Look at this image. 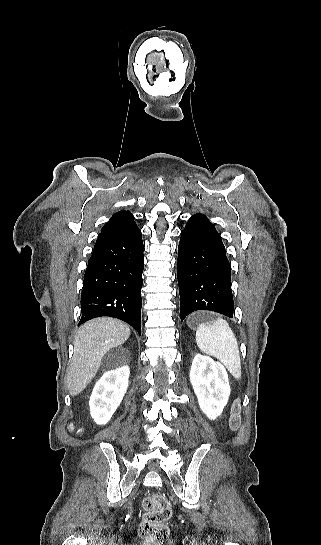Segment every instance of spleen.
<instances>
[{
	"instance_id": "3e777b00",
	"label": "spleen",
	"mask_w": 321,
	"mask_h": 545,
	"mask_svg": "<svg viewBox=\"0 0 321 545\" xmlns=\"http://www.w3.org/2000/svg\"><path fill=\"white\" fill-rule=\"evenodd\" d=\"M196 343L203 353L216 357L236 381L241 379V359L237 339L227 321L215 319L201 323L196 331Z\"/></svg>"
}]
</instances>
